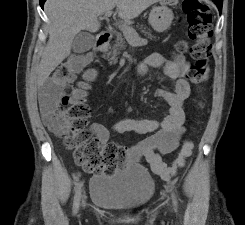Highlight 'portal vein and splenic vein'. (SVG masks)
I'll return each mask as SVG.
<instances>
[{"label": "portal vein and splenic vein", "mask_w": 245, "mask_h": 225, "mask_svg": "<svg viewBox=\"0 0 245 225\" xmlns=\"http://www.w3.org/2000/svg\"><path fill=\"white\" fill-rule=\"evenodd\" d=\"M112 11L104 13V17H110ZM119 29L123 32L126 39L134 46H139L147 43V40L140 38L136 30L128 25H119Z\"/></svg>", "instance_id": "obj_1"}]
</instances>
